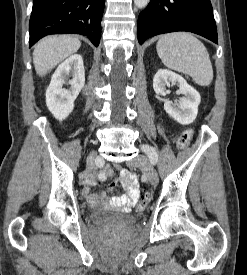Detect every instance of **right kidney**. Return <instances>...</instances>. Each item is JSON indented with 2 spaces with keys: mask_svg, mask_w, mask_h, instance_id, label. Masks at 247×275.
<instances>
[{
  "mask_svg": "<svg viewBox=\"0 0 247 275\" xmlns=\"http://www.w3.org/2000/svg\"><path fill=\"white\" fill-rule=\"evenodd\" d=\"M72 76L68 81L69 89L63 88L66 77ZM85 84V71L81 55L74 54L61 63L55 70L49 87L46 90V105L53 116L62 121L74 109V101Z\"/></svg>",
  "mask_w": 247,
  "mask_h": 275,
  "instance_id": "obj_1",
  "label": "right kidney"
}]
</instances>
